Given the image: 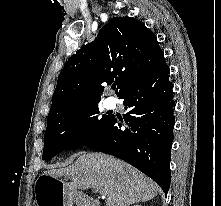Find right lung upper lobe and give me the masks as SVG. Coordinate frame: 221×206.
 Wrapping results in <instances>:
<instances>
[{"label":"right lung upper lobe","mask_w":221,"mask_h":206,"mask_svg":"<svg viewBox=\"0 0 221 206\" xmlns=\"http://www.w3.org/2000/svg\"><path fill=\"white\" fill-rule=\"evenodd\" d=\"M164 62L155 34L141 21L113 18L101 28L97 39L68 59L58 77L48 115L63 108L98 103L103 83H116L120 97Z\"/></svg>","instance_id":"right-lung-upper-lobe-1"}]
</instances>
